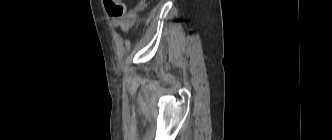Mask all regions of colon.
I'll use <instances>...</instances> for the list:
<instances>
[{
    "mask_svg": "<svg viewBox=\"0 0 332 140\" xmlns=\"http://www.w3.org/2000/svg\"><path fill=\"white\" fill-rule=\"evenodd\" d=\"M104 6L112 18L119 19L125 14L126 4L124 0H104Z\"/></svg>",
    "mask_w": 332,
    "mask_h": 140,
    "instance_id": "5ec220e1",
    "label": "colon"
}]
</instances>
